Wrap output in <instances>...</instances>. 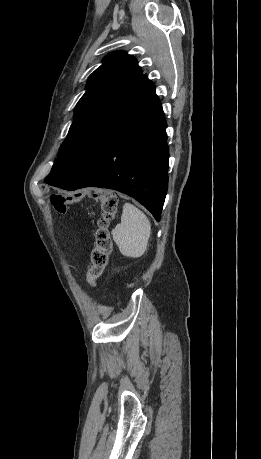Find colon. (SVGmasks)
I'll list each match as a JSON object with an SVG mask.
<instances>
[{
	"label": "colon",
	"mask_w": 261,
	"mask_h": 459,
	"mask_svg": "<svg viewBox=\"0 0 261 459\" xmlns=\"http://www.w3.org/2000/svg\"><path fill=\"white\" fill-rule=\"evenodd\" d=\"M82 197H92L101 204V216L95 232V246L91 253V266L87 272V282L92 287H98L99 278L106 268L112 251L110 223L118 210V200L115 193L99 191L97 188H73L71 195L53 194L51 204L58 214L67 213L68 206L80 201Z\"/></svg>",
	"instance_id": "obj_1"
}]
</instances>
